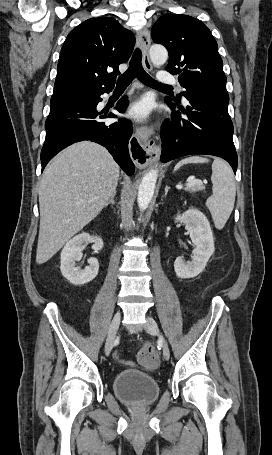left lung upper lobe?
<instances>
[{"label": "left lung upper lobe", "instance_id": "left-lung-upper-lobe-1", "mask_svg": "<svg viewBox=\"0 0 272 455\" xmlns=\"http://www.w3.org/2000/svg\"><path fill=\"white\" fill-rule=\"evenodd\" d=\"M151 34L155 43L168 50L166 70L179 75L178 81L186 89L181 95L201 89L227 91L217 42L200 20L188 15L165 14L155 22Z\"/></svg>", "mask_w": 272, "mask_h": 455}]
</instances>
